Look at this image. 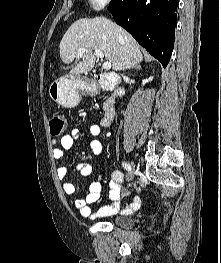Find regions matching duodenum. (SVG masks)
<instances>
[{
    "label": "duodenum",
    "mask_w": 221,
    "mask_h": 263,
    "mask_svg": "<svg viewBox=\"0 0 221 263\" xmlns=\"http://www.w3.org/2000/svg\"><path fill=\"white\" fill-rule=\"evenodd\" d=\"M96 79L102 88L113 91V97L106 101L104 107V122L108 123L115 113V100L123 95V90L119 87V79L114 73H99Z\"/></svg>",
    "instance_id": "410a0bca"
}]
</instances>
